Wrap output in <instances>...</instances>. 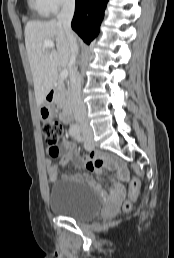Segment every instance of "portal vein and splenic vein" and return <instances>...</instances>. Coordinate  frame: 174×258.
<instances>
[{
    "mask_svg": "<svg viewBox=\"0 0 174 258\" xmlns=\"http://www.w3.org/2000/svg\"><path fill=\"white\" fill-rule=\"evenodd\" d=\"M55 45L52 41H44L43 43V50L46 49V48H54ZM68 76V71L67 69H63L61 72H60V78L64 79Z\"/></svg>",
    "mask_w": 174,
    "mask_h": 258,
    "instance_id": "portal-vein-and-splenic-vein-1",
    "label": "portal vein and splenic vein"
}]
</instances>
